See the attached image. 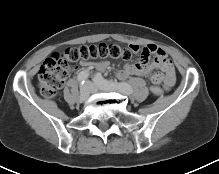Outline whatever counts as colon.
<instances>
[{"instance_id":"colon-1","label":"colon","mask_w":219,"mask_h":174,"mask_svg":"<svg viewBox=\"0 0 219 174\" xmlns=\"http://www.w3.org/2000/svg\"><path fill=\"white\" fill-rule=\"evenodd\" d=\"M105 58L130 60L132 50L130 47H123L116 43L102 42L51 54L38 73V85L41 93L47 98L54 97L63 87L73 64ZM151 93L155 97H159L163 94V89L160 86H153Z\"/></svg>"}]
</instances>
